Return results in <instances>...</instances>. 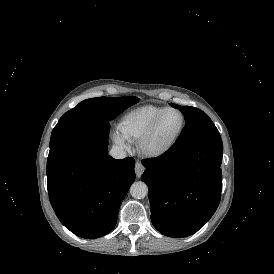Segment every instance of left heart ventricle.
<instances>
[{
    "label": "left heart ventricle",
    "instance_id": "obj_1",
    "mask_svg": "<svg viewBox=\"0 0 274 274\" xmlns=\"http://www.w3.org/2000/svg\"><path fill=\"white\" fill-rule=\"evenodd\" d=\"M181 125V114L177 111L168 112L159 123L154 134L148 139L147 149L154 152L164 149L178 133Z\"/></svg>",
    "mask_w": 274,
    "mask_h": 274
}]
</instances>
